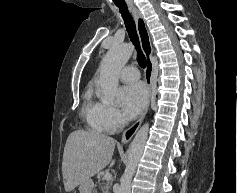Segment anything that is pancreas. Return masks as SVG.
Wrapping results in <instances>:
<instances>
[{"instance_id": "cf45deb5", "label": "pancreas", "mask_w": 237, "mask_h": 193, "mask_svg": "<svg viewBox=\"0 0 237 193\" xmlns=\"http://www.w3.org/2000/svg\"><path fill=\"white\" fill-rule=\"evenodd\" d=\"M104 179L102 178V181H103ZM99 187H100V189H101V191H102V193H110V187H111V185H110V183H104V182H100V180H99ZM95 193H97V191H95Z\"/></svg>"}]
</instances>
